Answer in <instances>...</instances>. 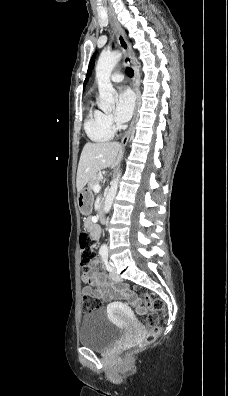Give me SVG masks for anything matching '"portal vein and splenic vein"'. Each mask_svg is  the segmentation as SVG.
<instances>
[{
	"mask_svg": "<svg viewBox=\"0 0 228 396\" xmlns=\"http://www.w3.org/2000/svg\"><path fill=\"white\" fill-rule=\"evenodd\" d=\"M100 189H101V186H100V184H96L95 186H94V191L95 192H98V191H100Z\"/></svg>",
	"mask_w": 228,
	"mask_h": 396,
	"instance_id": "obj_1",
	"label": "portal vein and splenic vein"
}]
</instances>
